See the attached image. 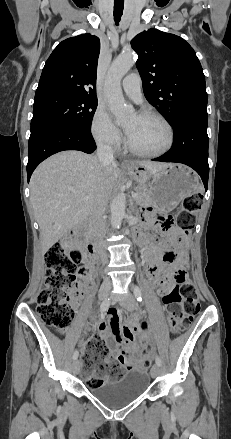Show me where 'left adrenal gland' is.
I'll return each instance as SVG.
<instances>
[{
	"label": "left adrenal gland",
	"instance_id": "obj_1",
	"mask_svg": "<svg viewBox=\"0 0 231 439\" xmlns=\"http://www.w3.org/2000/svg\"><path fill=\"white\" fill-rule=\"evenodd\" d=\"M131 207H132V209L134 210V207H133V202H131Z\"/></svg>",
	"mask_w": 231,
	"mask_h": 439
}]
</instances>
